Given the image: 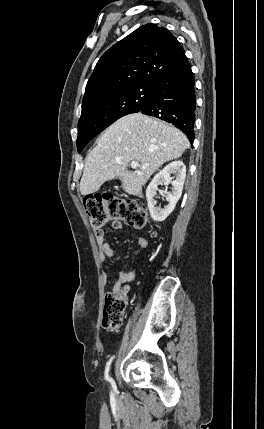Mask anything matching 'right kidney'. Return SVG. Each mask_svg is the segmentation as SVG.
Listing matches in <instances>:
<instances>
[{
    "label": "right kidney",
    "instance_id": "ca27d5eb",
    "mask_svg": "<svg viewBox=\"0 0 264 429\" xmlns=\"http://www.w3.org/2000/svg\"><path fill=\"white\" fill-rule=\"evenodd\" d=\"M171 174H175V177H171ZM185 178L186 166L180 160L171 162L154 176L146 190L149 212L154 221L162 222L173 212L181 197ZM161 184H172V191L167 194L169 203L164 208L157 207L154 199Z\"/></svg>",
    "mask_w": 264,
    "mask_h": 429
}]
</instances>
